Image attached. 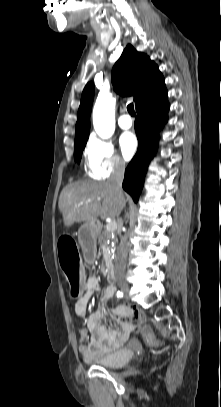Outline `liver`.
I'll return each instance as SVG.
<instances>
[{
	"mask_svg": "<svg viewBox=\"0 0 221 407\" xmlns=\"http://www.w3.org/2000/svg\"><path fill=\"white\" fill-rule=\"evenodd\" d=\"M91 200L90 203H83ZM58 207L65 227L75 222H95L118 217L123 204L107 182H75L66 186L59 197Z\"/></svg>",
	"mask_w": 221,
	"mask_h": 407,
	"instance_id": "1",
	"label": "liver"
}]
</instances>
